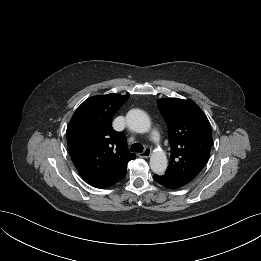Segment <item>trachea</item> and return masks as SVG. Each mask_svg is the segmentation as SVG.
<instances>
[{"label": "trachea", "instance_id": "3493384b", "mask_svg": "<svg viewBox=\"0 0 261 261\" xmlns=\"http://www.w3.org/2000/svg\"><path fill=\"white\" fill-rule=\"evenodd\" d=\"M132 152H143V146L140 143H134L130 149Z\"/></svg>", "mask_w": 261, "mask_h": 261}]
</instances>
